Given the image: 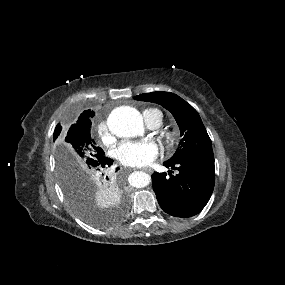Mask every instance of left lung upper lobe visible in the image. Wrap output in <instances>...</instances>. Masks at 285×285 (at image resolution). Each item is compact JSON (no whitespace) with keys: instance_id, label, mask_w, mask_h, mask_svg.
<instances>
[{"instance_id":"5c2ea615","label":"left lung upper lobe","mask_w":285,"mask_h":285,"mask_svg":"<svg viewBox=\"0 0 285 285\" xmlns=\"http://www.w3.org/2000/svg\"><path fill=\"white\" fill-rule=\"evenodd\" d=\"M134 99L160 104L172 113L179 125L182 139L175 154L167 162L214 157L211 140L198 112L181 97L159 91L141 94Z\"/></svg>"}]
</instances>
